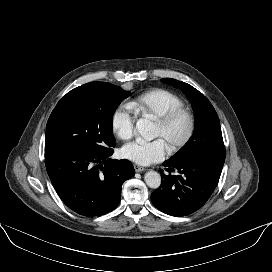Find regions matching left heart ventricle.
<instances>
[{
  "label": "left heart ventricle",
  "instance_id": "1",
  "mask_svg": "<svg viewBox=\"0 0 272 272\" xmlns=\"http://www.w3.org/2000/svg\"><path fill=\"white\" fill-rule=\"evenodd\" d=\"M187 130V120L180 117L175 120L169 127L162 128L156 124L155 136L161 138L167 147L180 140Z\"/></svg>",
  "mask_w": 272,
  "mask_h": 272
}]
</instances>
